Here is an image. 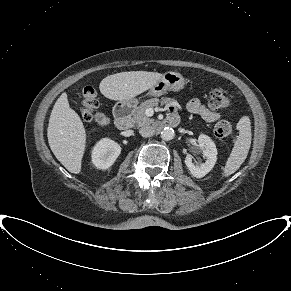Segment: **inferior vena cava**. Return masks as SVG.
<instances>
[{
    "instance_id": "602c4592",
    "label": "inferior vena cava",
    "mask_w": 291,
    "mask_h": 291,
    "mask_svg": "<svg viewBox=\"0 0 291 291\" xmlns=\"http://www.w3.org/2000/svg\"><path fill=\"white\" fill-rule=\"evenodd\" d=\"M139 133L143 137H151L155 134V130L152 126H143L140 128Z\"/></svg>"
}]
</instances>
